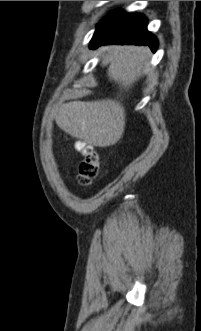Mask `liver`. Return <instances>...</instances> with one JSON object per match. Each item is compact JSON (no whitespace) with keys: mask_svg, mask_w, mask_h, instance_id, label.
Wrapping results in <instances>:
<instances>
[{"mask_svg":"<svg viewBox=\"0 0 201 331\" xmlns=\"http://www.w3.org/2000/svg\"><path fill=\"white\" fill-rule=\"evenodd\" d=\"M102 66L108 67V77L128 90L148 68L150 50L143 46L110 45L101 47ZM54 119L65 133L95 147L117 143L125 129V109L116 100L74 101L57 105Z\"/></svg>","mask_w":201,"mask_h":331,"instance_id":"6515ba94","label":"liver"}]
</instances>
